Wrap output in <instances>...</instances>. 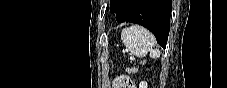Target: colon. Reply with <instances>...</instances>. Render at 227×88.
I'll list each match as a JSON object with an SVG mask.
<instances>
[{"label":"colon","mask_w":227,"mask_h":88,"mask_svg":"<svg viewBox=\"0 0 227 88\" xmlns=\"http://www.w3.org/2000/svg\"><path fill=\"white\" fill-rule=\"evenodd\" d=\"M123 87H125V88H136V86L134 85V83L131 82L130 80L127 81V82L123 85Z\"/></svg>","instance_id":"5ec220e1"}]
</instances>
